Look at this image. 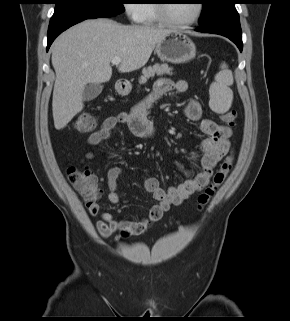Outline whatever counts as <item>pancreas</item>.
Returning a JSON list of instances; mask_svg holds the SVG:
<instances>
[{
  "instance_id": "obj_1",
  "label": "pancreas",
  "mask_w": 290,
  "mask_h": 321,
  "mask_svg": "<svg viewBox=\"0 0 290 321\" xmlns=\"http://www.w3.org/2000/svg\"><path fill=\"white\" fill-rule=\"evenodd\" d=\"M171 71H172V68L169 67L167 64H155L152 67H148V68L143 69L142 76L139 79V83L145 84L147 82V80L150 77H154L155 74H157V75H164V74L171 75L172 74Z\"/></svg>"
}]
</instances>
